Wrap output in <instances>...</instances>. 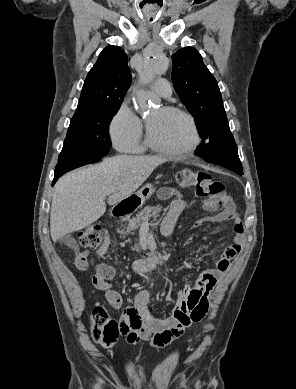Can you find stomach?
I'll use <instances>...</instances> for the list:
<instances>
[{"label":"stomach","mask_w":296,"mask_h":389,"mask_svg":"<svg viewBox=\"0 0 296 389\" xmlns=\"http://www.w3.org/2000/svg\"><path fill=\"white\" fill-rule=\"evenodd\" d=\"M153 193V186L150 184L145 185L140 191H138L135 195L140 198L141 202H144L148 199Z\"/></svg>","instance_id":"0dacf381"}]
</instances>
